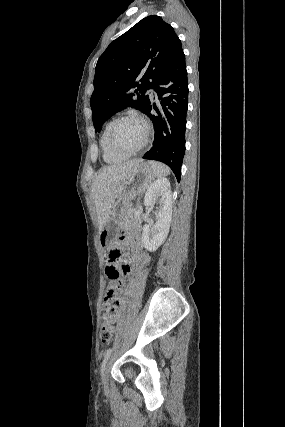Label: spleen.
I'll list each match as a JSON object with an SVG mask.
<instances>
[{"label": "spleen", "instance_id": "spleen-1", "mask_svg": "<svg viewBox=\"0 0 285 427\" xmlns=\"http://www.w3.org/2000/svg\"><path fill=\"white\" fill-rule=\"evenodd\" d=\"M149 164L153 170L155 177L157 178H163L170 174V169L162 163L149 161Z\"/></svg>", "mask_w": 285, "mask_h": 427}]
</instances>
